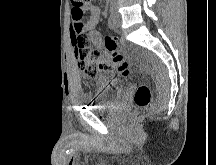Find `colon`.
<instances>
[{
	"label": "colon",
	"instance_id": "obj_1",
	"mask_svg": "<svg viewBox=\"0 0 216 165\" xmlns=\"http://www.w3.org/2000/svg\"><path fill=\"white\" fill-rule=\"evenodd\" d=\"M95 0H71L74 8L82 11L89 8ZM78 67L81 74L93 79L101 71L116 68L123 77L131 76V67L125 57L118 52L116 39L106 36L104 39V51L92 48L91 38L87 33L79 35L75 40ZM134 102L138 108H145L151 102V92L147 85H139L134 93Z\"/></svg>",
	"mask_w": 216,
	"mask_h": 165
}]
</instances>
